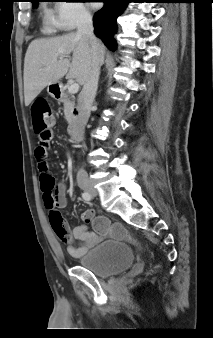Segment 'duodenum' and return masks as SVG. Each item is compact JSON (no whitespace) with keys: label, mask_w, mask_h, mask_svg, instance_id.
Masks as SVG:
<instances>
[{"label":"duodenum","mask_w":213,"mask_h":338,"mask_svg":"<svg viewBox=\"0 0 213 338\" xmlns=\"http://www.w3.org/2000/svg\"><path fill=\"white\" fill-rule=\"evenodd\" d=\"M62 93V88L61 86L57 85L54 87L53 89V94L56 98H59L61 96ZM73 120L70 123V131L71 134L75 137L78 138L79 137V132H78V127H79V123H78V116H79V109L78 108H74L73 110Z\"/></svg>","instance_id":"duodenum-1"}]
</instances>
